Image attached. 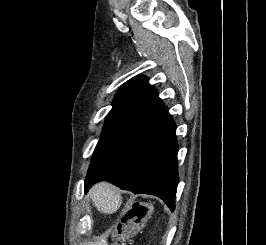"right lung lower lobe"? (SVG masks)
<instances>
[{"mask_svg": "<svg viewBox=\"0 0 266 245\" xmlns=\"http://www.w3.org/2000/svg\"><path fill=\"white\" fill-rule=\"evenodd\" d=\"M176 125L164 112L143 123L88 170L85 192L108 180L135 194L162 199L173 211L178 184Z\"/></svg>", "mask_w": 266, "mask_h": 245, "instance_id": "98d812e1", "label": "right lung lower lobe"}]
</instances>
